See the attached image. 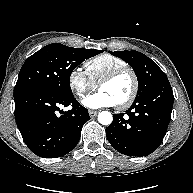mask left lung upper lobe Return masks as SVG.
Here are the masks:
<instances>
[{"instance_id":"1","label":"left lung upper lobe","mask_w":193,"mask_h":193,"mask_svg":"<svg viewBox=\"0 0 193 193\" xmlns=\"http://www.w3.org/2000/svg\"><path fill=\"white\" fill-rule=\"evenodd\" d=\"M110 54L122 58L134 70L138 78L136 98L143 96L151 88L167 79L164 72L149 57L138 51H109Z\"/></svg>"}]
</instances>
